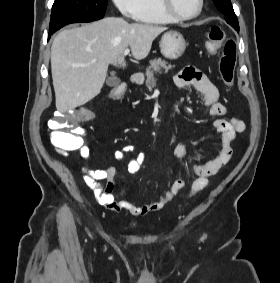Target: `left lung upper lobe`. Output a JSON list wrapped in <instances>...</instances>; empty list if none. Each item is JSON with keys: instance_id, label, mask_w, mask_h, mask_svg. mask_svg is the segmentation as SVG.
Segmentation results:
<instances>
[{"instance_id": "left-lung-upper-lobe-1", "label": "left lung upper lobe", "mask_w": 280, "mask_h": 283, "mask_svg": "<svg viewBox=\"0 0 280 283\" xmlns=\"http://www.w3.org/2000/svg\"><path fill=\"white\" fill-rule=\"evenodd\" d=\"M214 4L218 10H220L226 16V22L234 29H239L237 16L233 10L231 0H214Z\"/></svg>"}]
</instances>
